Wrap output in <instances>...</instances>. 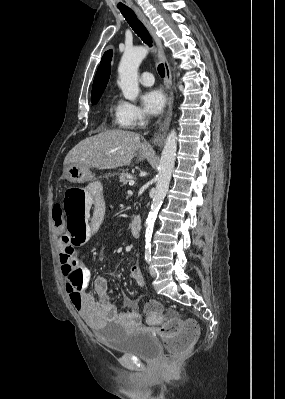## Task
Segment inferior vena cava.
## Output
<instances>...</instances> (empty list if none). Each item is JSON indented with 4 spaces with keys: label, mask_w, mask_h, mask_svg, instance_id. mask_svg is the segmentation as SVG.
<instances>
[{
    "label": "inferior vena cava",
    "mask_w": 285,
    "mask_h": 399,
    "mask_svg": "<svg viewBox=\"0 0 285 399\" xmlns=\"http://www.w3.org/2000/svg\"><path fill=\"white\" fill-rule=\"evenodd\" d=\"M145 123H146V122H145L144 118L142 117V118L140 119L139 126H144Z\"/></svg>",
    "instance_id": "602c4592"
}]
</instances>
